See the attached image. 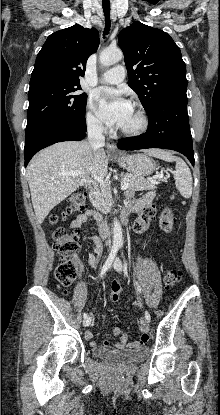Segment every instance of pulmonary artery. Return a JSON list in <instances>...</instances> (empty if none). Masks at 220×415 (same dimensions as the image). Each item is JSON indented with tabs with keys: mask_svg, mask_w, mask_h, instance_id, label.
Returning a JSON list of instances; mask_svg holds the SVG:
<instances>
[{
	"mask_svg": "<svg viewBox=\"0 0 220 415\" xmlns=\"http://www.w3.org/2000/svg\"><path fill=\"white\" fill-rule=\"evenodd\" d=\"M125 72L121 65L107 70L101 77V81L108 84H119L124 80Z\"/></svg>",
	"mask_w": 220,
	"mask_h": 415,
	"instance_id": "pulmonary-artery-1",
	"label": "pulmonary artery"
}]
</instances>
